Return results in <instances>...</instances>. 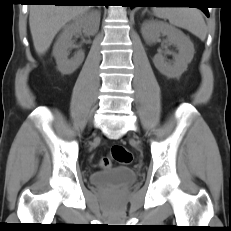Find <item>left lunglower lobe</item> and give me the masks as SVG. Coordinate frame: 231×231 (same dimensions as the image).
<instances>
[{
    "instance_id": "0a47b994",
    "label": "left lung lower lobe",
    "mask_w": 231,
    "mask_h": 231,
    "mask_svg": "<svg viewBox=\"0 0 231 231\" xmlns=\"http://www.w3.org/2000/svg\"><path fill=\"white\" fill-rule=\"evenodd\" d=\"M133 2L142 4L141 6H147V7L155 6L154 4L156 3H163V2H160V0H133ZM200 5H204V4H200ZM199 8L209 17L207 7H199Z\"/></svg>"
}]
</instances>
